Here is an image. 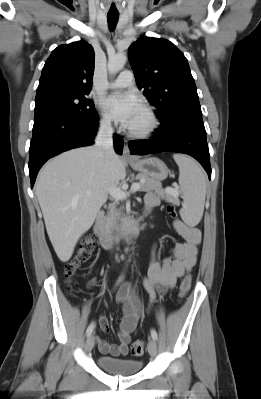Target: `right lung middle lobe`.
<instances>
[{"instance_id":"right-lung-middle-lobe-1","label":"right lung middle lobe","mask_w":261,"mask_h":399,"mask_svg":"<svg viewBox=\"0 0 261 399\" xmlns=\"http://www.w3.org/2000/svg\"><path fill=\"white\" fill-rule=\"evenodd\" d=\"M51 113H62L83 121H91L97 116L92 101L83 94H58L35 99V117Z\"/></svg>"}]
</instances>
